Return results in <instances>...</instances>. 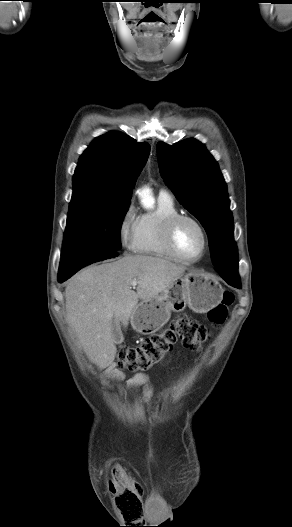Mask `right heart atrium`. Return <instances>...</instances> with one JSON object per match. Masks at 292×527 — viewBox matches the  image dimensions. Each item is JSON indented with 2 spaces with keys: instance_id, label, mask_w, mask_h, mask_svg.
I'll return each mask as SVG.
<instances>
[{
  "instance_id": "obj_1",
  "label": "right heart atrium",
  "mask_w": 292,
  "mask_h": 527,
  "mask_svg": "<svg viewBox=\"0 0 292 527\" xmlns=\"http://www.w3.org/2000/svg\"><path fill=\"white\" fill-rule=\"evenodd\" d=\"M137 219L135 206L133 203H129L122 213L118 225L119 239L125 248H132Z\"/></svg>"
}]
</instances>
